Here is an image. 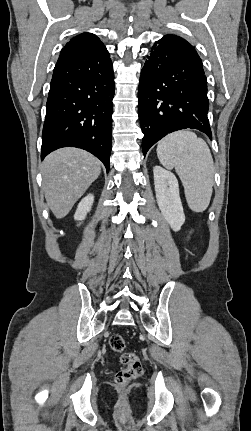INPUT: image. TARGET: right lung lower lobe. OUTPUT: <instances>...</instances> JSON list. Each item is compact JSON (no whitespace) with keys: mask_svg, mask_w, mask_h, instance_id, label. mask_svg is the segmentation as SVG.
Masks as SVG:
<instances>
[{"mask_svg":"<svg viewBox=\"0 0 251 431\" xmlns=\"http://www.w3.org/2000/svg\"><path fill=\"white\" fill-rule=\"evenodd\" d=\"M113 97V65L105 46L61 51L47 99L41 159L61 147H78L99 158L108 172Z\"/></svg>","mask_w":251,"mask_h":431,"instance_id":"98d812e1","label":"right lung lower lobe"}]
</instances>
